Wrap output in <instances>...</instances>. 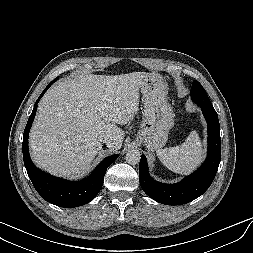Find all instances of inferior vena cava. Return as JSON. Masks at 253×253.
Segmentation results:
<instances>
[{"mask_svg": "<svg viewBox=\"0 0 253 253\" xmlns=\"http://www.w3.org/2000/svg\"><path fill=\"white\" fill-rule=\"evenodd\" d=\"M103 143H105L106 145H109L112 143V139L110 137H105L103 140H102Z\"/></svg>", "mask_w": 253, "mask_h": 253, "instance_id": "1", "label": "inferior vena cava"}]
</instances>
